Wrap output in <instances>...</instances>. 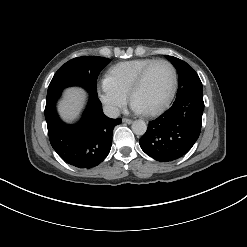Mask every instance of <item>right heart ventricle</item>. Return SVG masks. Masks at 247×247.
Instances as JSON below:
<instances>
[{"label":"right heart ventricle","mask_w":247,"mask_h":247,"mask_svg":"<svg viewBox=\"0 0 247 247\" xmlns=\"http://www.w3.org/2000/svg\"><path fill=\"white\" fill-rule=\"evenodd\" d=\"M155 60L154 58H140L117 63L109 69L107 77L128 93L140 72Z\"/></svg>","instance_id":"1"}]
</instances>
